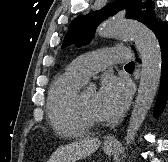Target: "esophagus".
<instances>
[{
	"mask_svg": "<svg viewBox=\"0 0 168 162\" xmlns=\"http://www.w3.org/2000/svg\"><path fill=\"white\" fill-rule=\"evenodd\" d=\"M105 142L108 143V144H114V143H116V139H114L112 137H109V138L106 139Z\"/></svg>",
	"mask_w": 168,
	"mask_h": 162,
	"instance_id": "esophagus-1",
	"label": "esophagus"
}]
</instances>
